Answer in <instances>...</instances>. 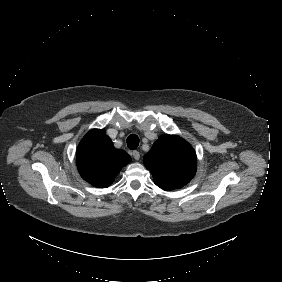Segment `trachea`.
Returning <instances> with one entry per match:
<instances>
[{
  "label": "trachea",
  "instance_id": "obj_1",
  "mask_svg": "<svg viewBox=\"0 0 282 282\" xmlns=\"http://www.w3.org/2000/svg\"><path fill=\"white\" fill-rule=\"evenodd\" d=\"M139 145V137L136 134H130L127 138V146L131 150H135Z\"/></svg>",
  "mask_w": 282,
  "mask_h": 282
}]
</instances>
